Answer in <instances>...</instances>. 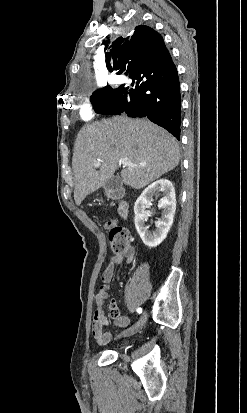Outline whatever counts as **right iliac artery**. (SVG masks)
<instances>
[{"label": "right iliac artery", "mask_w": 247, "mask_h": 413, "mask_svg": "<svg viewBox=\"0 0 247 413\" xmlns=\"http://www.w3.org/2000/svg\"><path fill=\"white\" fill-rule=\"evenodd\" d=\"M137 312H138L139 314H141V313H142V308H137Z\"/></svg>", "instance_id": "right-iliac-artery-1"}]
</instances>
